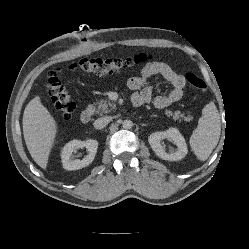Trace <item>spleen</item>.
Returning <instances> with one entry per match:
<instances>
[{"label":"spleen","instance_id":"3e777b00","mask_svg":"<svg viewBox=\"0 0 249 249\" xmlns=\"http://www.w3.org/2000/svg\"><path fill=\"white\" fill-rule=\"evenodd\" d=\"M220 134V116L214 102H210L203 108L198 127L190 137V146L199 160L208 159L218 144Z\"/></svg>","mask_w":249,"mask_h":249}]
</instances>
